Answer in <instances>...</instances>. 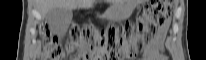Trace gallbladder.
Instances as JSON below:
<instances>
[{"label": "gallbladder", "instance_id": "obj_1", "mask_svg": "<svg viewBox=\"0 0 206 60\" xmlns=\"http://www.w3.org/2000/svg\"><path fill=\"white\" fill-rule=\"evenodd\" d=\"M72 20V11L70 9L56 7L46 14V21L54 31L65 30Z\"/></svg>", "mask_w": 206, "mask_h": 60}]
</instances>
